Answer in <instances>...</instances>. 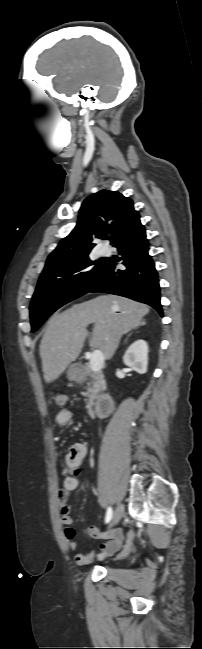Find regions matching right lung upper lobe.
Wrapping results in <instances>:
<instances>
[{"mask_svg": "<svg viewBox=\"0 0 202 649\" xmlns=\"http://www.w3.org/2000/svg\"><path fill=\"white\" fill-rule=\"evenodd\" d=\"M143 229L130 198L109 190L92 194L81 206L76 227L49 255L40 278L70 271L79 258L89 254L97 238L109 237L115 245Z\"/></svg>", "mask_w": 202, "mask_h": 649, "instance_id": "1", "label": "right lung upper lobe"}]
</instances>
